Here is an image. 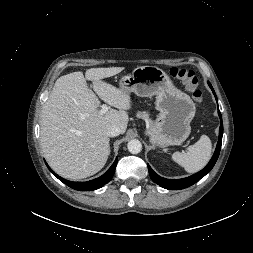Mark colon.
Returning <instances> with one entry per match:
<instances>
[{"instance_id": "5ec220e1", "label": "colon", "mask_w": 253, "mask_h": 253, "mask_svg": "<svg viewBox=\"0 0 253 253\" xmlns=\"http://www.w3.org/2000/svg\"><path fill=\"white\" fill-rule=\"evenodd\" d=\"M169 74L175 79H178L191 94L192 99L196 103L202 101V91L199 89L198 78L195 73L186 68L172 67L169 69Z\"/></svg>"}]
</instances>
